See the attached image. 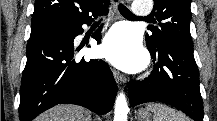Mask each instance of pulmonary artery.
<instances>
[{"label":"pulmonary artery","mask_w":217,"mask_h":121,"mask_svg":"<svg viewBox=\"0 0 217 121\" xmlns=\"http://www.w3.org/2000/svg\"><path fill=\"white\" fill-rule=\"evenodd\" d=\"M132 9H133V14L136 17H141V18L149 17L151 13V7L148 4H144L142 2L135 3L132 6Z\"/></svg>","instance_id":"obj_1"}]
</instances>
